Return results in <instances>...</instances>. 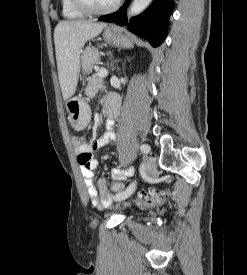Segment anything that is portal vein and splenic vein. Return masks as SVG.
<instances>
[{
	"mask_svg": "<svg viewBox=\"0 0 247 275\" xmlns=\"http://www.w3.org/2000/svg\"><path fill=\"white\" fill-rule=\"evenodd\" d=\"M97 75H99L100 77H106L108 75V71L105 69H100Z\"/></svg>",
	"mask_w": 247,
	"mask_h": 275,
	"instance_id": "1",
	"label": "portal vein and splenic vein"
}]
</instances>
